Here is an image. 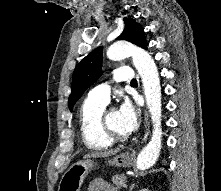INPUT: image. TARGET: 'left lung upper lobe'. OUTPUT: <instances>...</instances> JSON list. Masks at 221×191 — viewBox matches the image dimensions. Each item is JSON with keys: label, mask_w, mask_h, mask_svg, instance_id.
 Masks as SVG:
<instances>
[{"label": "left lung upper lobe", "mask_w": 221, "mask_h": 191, "mask_svg": "<svg viewBox=\"0 0 221 191\" xmlns=\"http://www.w3.org/2000/svg\"><path fill=\"white\" fill-rule=\"evenodd\" d=\"M124 30L117 38L147 48L145 33L140 24L134 19L124 18ZM102 47L89 53L74 70L72 78V92L69 96V109L72 111L74 104L82 96L84 91L102 75Z\"/></svg>", "instance_id": "obj_1"}]
</instances>
